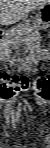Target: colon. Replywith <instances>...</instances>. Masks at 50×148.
Returning <instances> with one entry per match:
<instances>
[{
  "label": "colon",
  "mask_w": 50,
  "mask_h": 148,
  "mask_svg": "<svg viewBox=\"0 0 50 148\" xmlns=\"http://www.w3.org/2000/svg\"><path fill=\"white\" fill-rule=\"evenodd\" d=\"M0 78L2 81L0 97L4 100L14 99L26 93L29 88L32 89L37 99H50V78L48 75L30 81L27 77L12 76L7 72H1Z\"/></svg>",
  "instance_id": "5ec220e1"
}]
</instances>
